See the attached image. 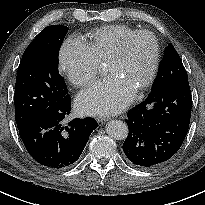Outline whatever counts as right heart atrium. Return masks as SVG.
<instances>
[{
    "label": "right heart atrium",
    "mask_w": 205,
    "mask_h": 205,
    "mask_svg": "<svg viewBox=\"0 0 205 205\" xmlns=\"http://www.w3.org/2000/svg\"><path fill=\"white\" fill-rule=\"evenodd\" d=\"M58 60L69 82L76 87L89 85L97 76L99 61L88 45L77 37L64 41Z\"/></svg>",
    "instance_id": "right-heart-atrium-1"
}]
</instances>
